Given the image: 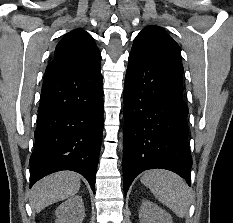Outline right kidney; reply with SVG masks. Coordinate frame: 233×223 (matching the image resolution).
Returning a JSON list of instances; mask_svg holds the SVG:
<instances>
[{
	"label": "right kidney",
	"instance_id": "obj_1",
	"mask_svg": "<svg viewBox=\"0 0 233 223\" xmlns=\"http://www.w3.org/2000/svg\"><path fill=\"white\" fill-rule=\"evenodd\" d=\"M55 223H82L85 217V207L82 195H72L58 205Z\"/></svg>",
	"mask_w": 233,
	"mask_h": 223
}]
</instances>
